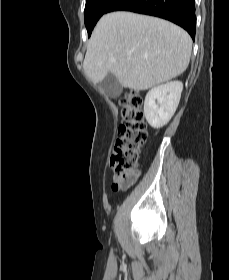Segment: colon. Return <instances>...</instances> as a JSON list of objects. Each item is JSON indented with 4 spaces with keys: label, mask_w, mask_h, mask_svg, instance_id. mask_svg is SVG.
<instances>
[{
    "label": "colon",
    "mask_w": 229,
    "mask_h": 280,
    "mask_svg": "<svg viewBox=\"0 0 229 280\" xmlns=\"http://www.w3.org/2000/svg\"><path fill=\"white\" fill-rule=\"evenodd\" d=\"M142 103L141 95L134 91L120 98L122 123L110 157L116 188L133 185L138 176L139 153L147 140Z\"/></svg>",
    "instance_id": "colon-1"
}]
</instances>
